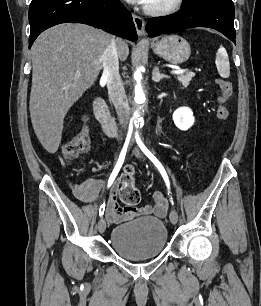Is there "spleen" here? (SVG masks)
I'll return each mask as SVG.
<instances>
[{
	"label": "spleen",
	"mask_w": 261,
	"mask_h": 306,
	"mask_svg": "<svg viewBox=\"0 0 261 306\" xmlns=\"http://www.w3.org/2000/svg\"><path fill=\"white\" fill-rule=\"evenodd\" d=\"M215 64L219 75L222 78H228L230 75V63L226 49L220 46L216 53Z\"/></svg>",
	"instance_id": "1"
}]
</instances>
